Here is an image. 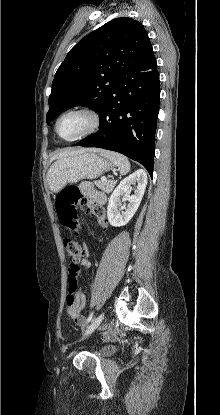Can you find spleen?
Listing matches in <instances>:
<instances>
[{
    "mask_svg": "<svg viewBox=\"0 0 220 415\" xmlns=\"http://www.w3.org/2000/svg\"><path fill=\"white\" fill-rule=\"evenodd\" d=\"M100 154L106 158H108L112 163H114L119 171L120 174L126 175L130 170V162L127 157L124 155L113 152V151H107V150H101Z\"/></svg>",
    "mask_w": 220,
    "mask_h": 415,
    "instance_id": "obj_1",
    "label": "spleen"
}]
</instances>
